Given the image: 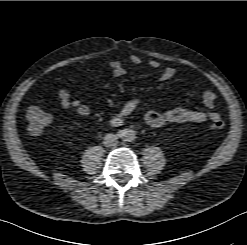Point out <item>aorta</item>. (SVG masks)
Here are the masks:
<instances>
[{
	"label": "aorta",
	"mask_w": 247,
	"mask_h": 245,
	"mask_svg": "<svg viewBox=\"0 0 247 245\" xmlns=\"http://www.w3.org/2000/svg\"><path fill=\"white\" fill-rule=\"evenodd\" d=\"M120 137L124 141H133L136 138V133L132 129H124L121 131Z\"/></svg>",
	"instance_id": "aorta-1"
}]
</instances>
